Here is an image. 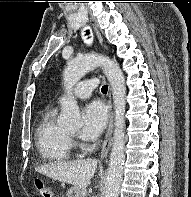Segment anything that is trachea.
Masks as SVG:
<instances>
[{"mask_svg":"<svg viewBox=\"0 0 191 197\" xmlns=\"http://www.w3.org/2000/svg\"><path fill=\"white\" fill-rule=\"evenodd\" d=\"M88 33H89V32H87V34H88ZM107 90H108V85L102 86L101 91H102L103 93H107Z\"/></svg>","mask_w":191,"mask_h":197,"instance_id":"obj_1","label":"trachea"}]
</instances>
